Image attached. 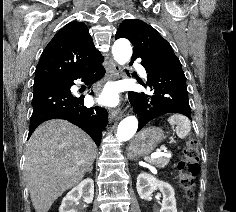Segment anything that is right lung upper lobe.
Instances as JSON below:
<instances>
[{"instance_id": "cb5924a9", "label": "right lung upper lobe", "mask_w": 236, "mask_h": 212, "mask_svg": "<svg viewBox=\"0 0 236 212\" xmlns=\"http://www.w3.org/2000/svg\"><path fill=\"white\" fill-rule=\"evenodd\" d=\"M102 59L87 26L71 22L60 29L44 49L36 67L34 82L69 79Z\"/></svg>"}]
</instances>
